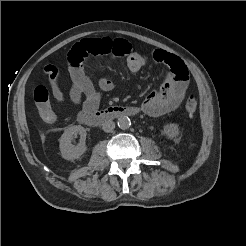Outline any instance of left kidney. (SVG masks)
<instances>
[{
    "mask_svg": "<svg viewBox=\"0 0 246 246\" xmlns=\"http://www.w3.org/2000/svg\"><path fill=\"white\" fill-rule=\"evenodd\" d=\"M163 134L169 139H176L180 134L178 125L175 123L165 124L163 126Z\"/></svg>",
    "mask_w": 246,
    "mask_h": 246,
    "instance_id": "5707ae66",
    "label": "left kidney"
}]
</instances>
